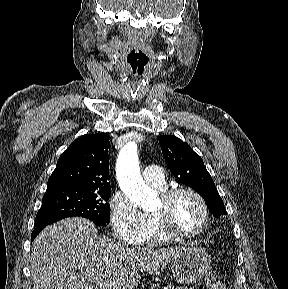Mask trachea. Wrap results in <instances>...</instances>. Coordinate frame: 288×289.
Instances as JSON below:
<instances>
[{
  "instance_id": "trachea-1",
  "label": "trachea",
  "mask_w": 288,
  "mask_h": 289,
  "mask_svg": "<svg viewBox=\"0 0 288 289\" xmlns=\"http://www.w3.org/2000/svg\"><path fill=\"white\" fill-rule=\"evenodd\" d=\"M149 59L140 49H133L127 56V62L133 70L143 71Z\"/></svg>"
}]
</instances>
